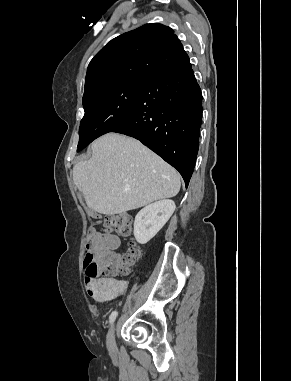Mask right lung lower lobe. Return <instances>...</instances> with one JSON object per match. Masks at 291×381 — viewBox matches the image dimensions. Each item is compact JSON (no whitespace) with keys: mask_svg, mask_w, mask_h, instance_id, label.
Wrapping results in <instances>:
<instances>
[{"mask_svg":"<svg viewBox=\"0 0 291 381\" xmlns=\"http://www.w3.org/2000/svg\"><path fill=\"white\" fill-rule=\"evenodd\" d=\"M202 111L201 89L183 52L144 82L131 118L111 132L141 141L175 167L187 187L198 153Z\"/></svg>","mask_w":291,"mask_h":381,"instance_id":"98d812e1","label":"right lung lower lobe"}]
</instances>
